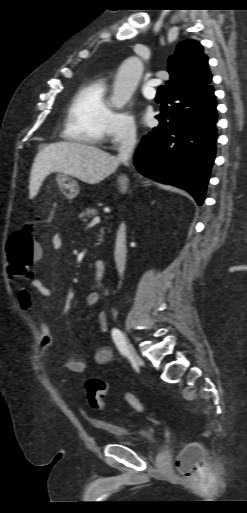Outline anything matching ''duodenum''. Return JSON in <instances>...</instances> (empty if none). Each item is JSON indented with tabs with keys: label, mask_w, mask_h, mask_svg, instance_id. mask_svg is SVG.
Returning a JSON list of instances; mask_svg holds the SVG:
<instances>
[{
	"label": "duodenum",
	"mask_w": 247,
	"mask_h": 513,
	"mask_svg": "<svg viewBox=\"0 0 247 513\" xmlns=\"http://www.w3.org/2000/svg\"><path fill=\"white\" fill-rule=\"evenodd\" d=\"M105 275H106V262L104 260L95 261L93 280L95 282H101L104 280Z\"/></svg>",
	"instance_id": "obj_1"
}]
</instances>
